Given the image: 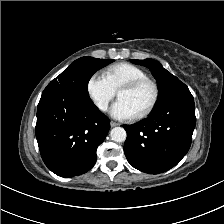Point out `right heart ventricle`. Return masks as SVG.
<instances>
[{
	"instance_id": "right-heart-ventricle-1",
	"label": "right heart ventricle",
	"mask_w": 224,
	"mask_h": 224,
	"mask_svg": "<svg viewBox=\"0 0 224 224\" xmlns=\"http://www.w3.org/2000/svg\"><path fill=\"white\" fill-rule=\"evenodd\" d=\"M104 76L114 91L119 90L127 82L147 77L141 68L126 62L108 67L104 72Z\"/></svg>"
}]
</instances>
